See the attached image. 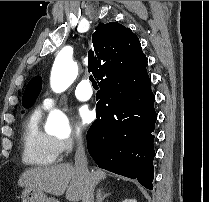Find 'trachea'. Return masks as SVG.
<instances>
[{
  "mask_svg": "<svg viewBox=\"0 0 209 202\" xmlns=\"http://www.w3.org/2000/svg\"><path fill=\"white\" fill-rule=\"evenodd\" d=\"M89 79H90V81L92 82V86H93L94 88H95V87L98 88V85H97V82L95 81V79H94L92 76H90Z\"/></svg>",
  "mask_w": 209,
  "mask_h": 202,
  "instance_id": "trachea-1",
  "label": "trachea"
}]
</instances>
